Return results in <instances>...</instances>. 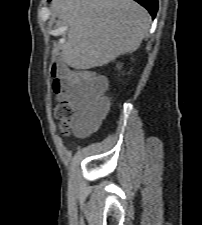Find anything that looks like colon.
I'll return each mask as SVG.
<instances>
[{
  "label": "colon",
  "mask_w": 202,
  "mask_h": 225,
  "mask_svg": "<svg viewBox=\"0 0 202 225\" xmlns=\"http://www.w3.org/2000/svg\"><path fill=\"white\" fill-rule=\"evenodd\" d=\"M53 79V91L59 98V103L54 109V115L64 135H69L74 118V108L66 100L68 93L76 94L82 99L88 113L91 116L103 114L108 107V99L105 96V83L93 74L87 72L64 73L56 64L49 71ZM74 131L80 133L85 124L75 125Z\"/></svg>",
  "instance_id": "colon-1"
}]
</instances>
